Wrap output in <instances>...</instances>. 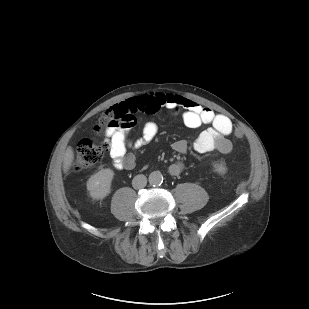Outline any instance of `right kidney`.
Listing matches in <instances>:
<instances>
[{
	"label": "right kidney",
	"mask_w": 309,
	"mask_h": 309,
	"mask_svg": "<svg viewBox=\"0 0 309 309\" xmlns=\"http://www.w3.org/2000/svg\"><path fill=\"white\" fill-rule=\"evenodd\" d=\"M114 172L111 169H102L92 175L87 181V189L94 199L105 198L111 190Z\"/></svg>",
	"instance_id": "obj_1"
}]
</instances>
